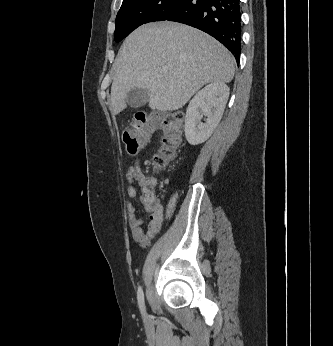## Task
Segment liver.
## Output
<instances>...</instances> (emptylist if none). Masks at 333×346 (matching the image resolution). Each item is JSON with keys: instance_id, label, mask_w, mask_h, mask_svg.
Listing matches in <instances>:
<instances>
[{"instance_id": "liver-1", "label": "liver", "mask_w": 333, "mask_h": 346, "mask_svg": "<svg viewBox=\"0 0 333 346\" xmlns=\"http://www.w3.org/2000/svg\"><path fill=\"white\" fill-rule=\"evenodd\" d=\"M161 68H167V74ZM113 71L110 100L114 115L127 107L126 94L133 88L148 90L151 109L175 111L203 85L231 82L235 59L198 29L173 22L149 23L125 39Z\"/></svg>"}]
</instances>
